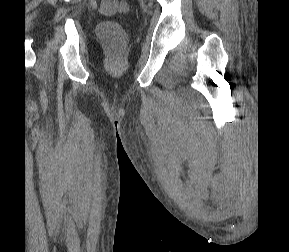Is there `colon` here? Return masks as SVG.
<instances>
[{
  "label": "colon",
  "mask_w": 289,
  "mask_h": 252,
  "mask_svg": "<svg viewBox=\"0 0 289 252\" xmlns=\"http://www.w3.org/2000/svg\"><path fill=\"white\" fill-rule=\"evenodd\" d=\"M128 9V4L122 0H101L99 7L104 15L127 12ZM97 34L108 48L113 61L117 62L127 42V34L123 27L115 21H103L97 27Z\"/></svg>",
  "instance_id": "1"
}]
</instances>
